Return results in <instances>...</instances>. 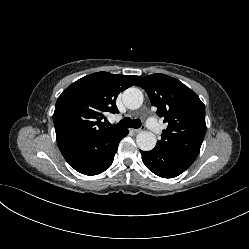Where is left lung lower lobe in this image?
<instances>
[{
  "mask_svg": "<svg viewBox=\"0 0 249 249\" xmlns=\"http://www.w3.org/2000/svg\"><path fill=\"white\" fill-rule=\"evenodd\" d=\"M142 161L145 166L157 176L163 178H173L183 173L195 161V157L169 153L153 149L151 151H141Z\"/></svg>",
  "mask_w": 249,
  "mask_h": 249,
  "instance_id": "1",
  "label": "left lung lower lobe"
}]
</instances>
